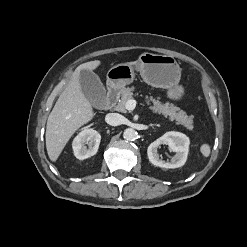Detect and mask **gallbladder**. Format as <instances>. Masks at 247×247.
<instances>
[{"instance_id":"1","label":"gallbladder","mask_w":247,"mask_h":247,"mask_svg":"<svg viewBox=\"0 0 247 247\" xmlns=\"http://www.w3.org/2000/svg\"><path fill=\"white\" fill-rule=\"evenodd\" d=\"M80 86L86 99L96 108L101 109L105 104L106 90L99 77L92 71H80Z\"/></svg>"}]
</instances>
